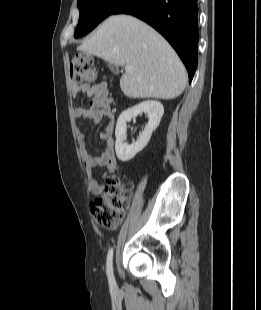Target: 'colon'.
<instances>
[{
    "instance_id": "1",
    "label": "colon",
    "mask_w": 261,
    "mask_h": 310,
    "mask_svg": "<svg viewBox=\"0 0 261 310\" xmlns=\"http://www.w3.org/2000/svg\"><path fill=\"white\" fill-rule=\"evenodd\" d=\"M70 78L76 86L88 85L98 78V70L90 54L76 53L72 57ZM129 197L130 192L118 177H108L103 193L90 204L96 223L106 229L117 227L123 219Z\"/></svg>"
}]
</instances>
